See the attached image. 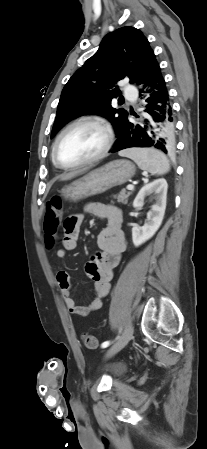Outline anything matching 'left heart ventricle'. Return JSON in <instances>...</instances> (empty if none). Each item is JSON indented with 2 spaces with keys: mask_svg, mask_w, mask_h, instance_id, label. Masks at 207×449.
Masks as SVG:
<instances>
[{
  "mask_svg": "<svg viewBox=\"0 0 207 449\" xmlns=\"http://www.w3.org/2000/svg\"><path fill=\"white\" fill-rule=\"evenodd\" d=\"M104 145V135L96 127L78 125L61 139L57 154L64 164H75L97 155Z\"/></svg>",
  "mask_w": 207,
  "mask_h": 449,
  "instance_id": "obj_1",
  "label": "left heart ventricle"
}]
</instances>
